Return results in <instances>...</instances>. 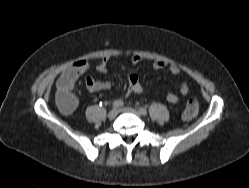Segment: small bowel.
<instances>
[{
  "label": "small bowel",
  "mask_w": 249,
  "mask_h": 188,
  "mask_svg": "<svg viewBox=\"0 0 249 188\" xmlns=\"http://www.w3.org/2000/svg\"><path fill=\"white\" fill-rule=\"evenodd\" d=\"M109 57H105L96 67V70L105 74L108 71L109 66ZM142 61V57L136 54L130 56V62L133 65H137ZM153 69L161 70L165 67L168 68V71L173 75L180 74V68L175 64L167 65L166 62L162 60H155L152 64ZM89 68V63L86 60H78L74 62L71 66H69L64 73L60 76L57 81V89H66L72 91L76 82L79 78L87 71ZM128 89L127 95L130 94H141L143 92V88L140 84V80L137 74L128 73ZM86 87L91 92L96 91H104L108 90L111 87V83L106 80H95L91 77L86 78ZM180 93L182 95H186L189 93V85L186 82H182L179 86ZM167 101L171 104H177L179 102V97L174 93L170 92L167 94Z\"/></svg>",
  "instance_id": "1"
}]
</instances>
